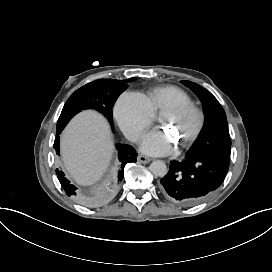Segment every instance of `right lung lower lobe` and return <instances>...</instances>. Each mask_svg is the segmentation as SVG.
I'll return each instance as SVG.
<instances>
[{"instance_id": "obj_1", "label": "right lung lower lobe", "mask_w": 272, "mask_h": 272, "mask_svg": "<svg viewBox=\"0 0 272 272\" xmlns=\"http://www.w3.org/2000/svg\"><path fill=\"white\" fill-rule=\"evenodd\" d=\"M62 130H56V138L54 142V148L59 155V134ZM118 150V167L112 171L110 178H108L96 191L94 192H82L77 194V187L70 183L65 177V174L56 169L58 180L64 189L67 196L76 197L88 207H100L108 203L120 190L123 178L124 168L127 164L136 162L137 153L135 149L130 145L117 144Z\"/></svg>"}]
</instances>
